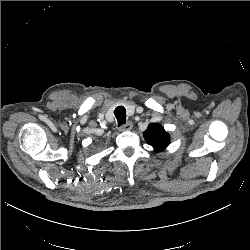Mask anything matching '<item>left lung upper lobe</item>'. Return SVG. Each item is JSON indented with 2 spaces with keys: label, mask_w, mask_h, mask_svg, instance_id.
<instances>
[{
  "label": "left lung upper lobe",
  "mask_w": 250,
  "mask_h": 250,
  "mask_svg": "<svg viewBox=\"0 0 250 250\" xmlns=\"http://www.w3.org/2000/svg\"><path fill=\"white\" fill-rule=\"evenodd\" d=\"M146 142L151 145L156 152L164 150L170 143V136L158 123H151L143 133Z\"/></svg>",
  "instance_id": "left-lung-upper-lobe-1"
}]
</instances>
